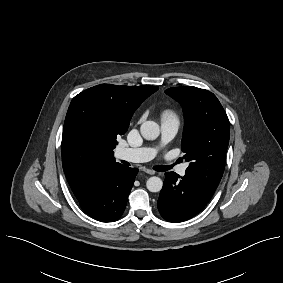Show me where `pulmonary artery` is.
I'll return each instance as SVG.
<instances>
[{
    "label": "pulmonary artery",
    "mask_w": 283,
    "mask_h": 283,
    "mask_svg": "<svg viewBox=\"0 0 283 283\" xmlns=\"http://www.w3.org/2000/svg\"><path fill=\"white\" fill-rule=\"evenodd\" d=\"M179 124L175 119H162L161 121V140L157 147H140L128 148L119 147L116 150V157L120 160L130 162H146L152 160L158 153L159 149L167 146L178 132ZM167 166L174 168L176 173L183 176L186 172L187 165L179 164L176 161L168 162Z\"/></svg>",
    "instance_id": "e3ab8cb5"
}]
</instances>
